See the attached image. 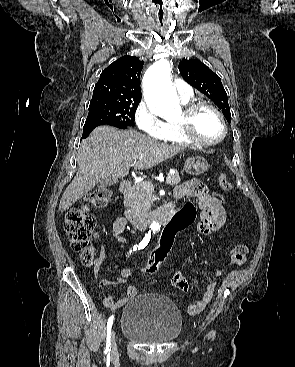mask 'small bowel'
<instances>
[{
	"label": "small bowel",
	"mask_w": 295,
	"mask_h": 367,
	"mask_svg": "<svg viewBox=\"0 0 295 367\" xmlns=\"http://www.w3.org/2000/svg\"><path fill=\"white\" fill-rule=\"evenodd\" d=\"M185 195H190L191 197L197 199V206L199 210V222L197 224V230L204 241H207L213 232L218 231L225 224L226 213L223 206L220 204L221 200H219L217 196H213L212 192H210L208 188L198 179L187 180L175 188L174 197L177 200L184 198ZM126 227L127 220L123 217H118L113 222L112 233L120 242H124L126 240ZM104 259L105 249L102 248L98 258L94 262V274L100 286L122 285L130 280L132 273L129 269H123L121 276L115 280L101 279L99 277V271ZM221 271V268L214 270V276H219ZM172 281L177 288L183 291L188 289L187 280L182 272L177 271L174 274ZM215 289L216 283H209L202 298L196 303L188 306L189 314L197 315L201 313L212 300ZM137 295V288L130 286L124 297L117 298L114 296H107L104 298L103 304L111 311H116L124 306L127 301L136 297Z\"/></svg>",
	"instance_id": "1"
}]
</instances>
